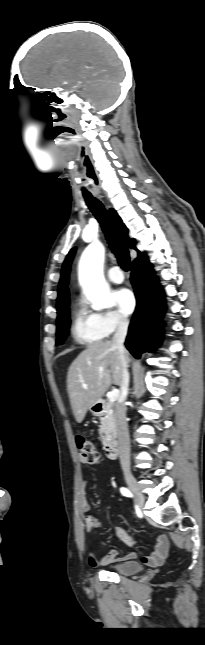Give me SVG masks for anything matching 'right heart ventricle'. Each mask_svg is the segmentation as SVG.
Listing matches in <instances>:
<instances>
[{
	"label": "right heart ventricle",
	"instance_id": "1",
	"mask_svg": "<svg viewBox=\"0 0 205 645\" xmlns=\"http://www.w3.org/2000/svg\"><path fill=\"white\" fill-rule=\"evenodd\" d=\"M72 335L82 344H94L106 336L97 322L96 314L90 312L85 305L78 304L73 316Z\"/></svg>",
	"mask_w": 205,
	"mask_h": 645
}]
</instances>
